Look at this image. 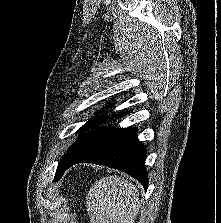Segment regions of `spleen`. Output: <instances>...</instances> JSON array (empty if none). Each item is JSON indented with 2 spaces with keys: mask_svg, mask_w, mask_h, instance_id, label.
<instances>
[{
  "mask_svg": "<svg viewBox=\"0 0 221 223\" xmlns=\"http://www.w3.org/2000/svg\"><path fill=\"white\" fill-rule=\"evenodd\" d=\"M138 195L135 185L121 177L101 178L86 197L91 223H134L139 212Z\"/></svg>",
  "mask_w": 221,
  "mask_h": 223,
  "instance_id": "3e777b00",
  "label": "spleen"
}]
</instances>
